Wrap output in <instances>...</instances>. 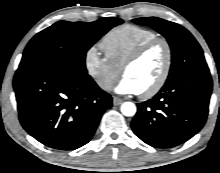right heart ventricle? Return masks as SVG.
<instances>
[{"label": "right heart ventricle", "mask_w": 220, "mask_h": 173, "mask_svg": "<svg viewBox=\"0 0 220 173\" xmlns=\"http://www.w3.org/2000/svg\"><path fill=\"white\" fill-rule=\"evenodd\" d=\"M155 38H158V34L151 29L124 24L108 32L100 42V47L106 58L121 70L134 51Z\"/></svg>", "instance_id": "obj_1"}]
</instances>
